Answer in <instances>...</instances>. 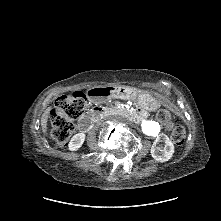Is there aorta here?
<instances>
[{"mask_svg":"<svg viewBox=\"0 0 221 221\" xmlns=\"http://www.w3.org/2000/svg\"><path fill=\"white\" fill-rule=\"evenodd\" d=\"M141 127L145 134L151 135V136H157L160 131V126L156 122L143 120L141 122Z\"/></svg>","mask_w":221,"mask_h":221,"instance_id":"762f6f07","label":"aorta"}]
</instances>
